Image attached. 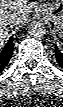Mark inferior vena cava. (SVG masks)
Masks as SVG:
<instances>
[{
  "label": "inferior vena cava",
  "mask_w": 63,
  "mask_h": 107,
  "mask_svg": "<svg viewBox=\"0 0 63 107\" xmlns=\"http://www.w3.org/2000/svg\"><path fill=\"white\" fill-rule=\"evenodd\" d=\"M16 22H17V18L13 15L5 19H1V24L10 28H12L16 24Z\"/></svg>",
  "instance_id": "inferior-vena-cava-1"
}]
</instances>
